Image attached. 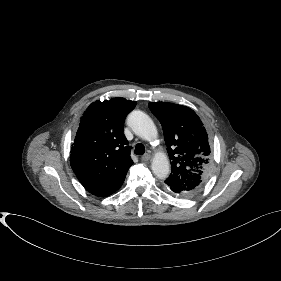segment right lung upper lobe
Returning <instances> with one entry per match:
<instances>
[{
	"instance_id": "obj_1",
	"label": "right lung upper lobe",
	"mask_w": 281,
	"mask_h": 281,
	"mask_svg": "<svg viewBox=\"0 0 281 281\" xmlns=\"http://www.w3.org/2000/svg\"><path fill=\"white\" fill-rule=\"evenodd\" d=\"M135 101L113 98L93 102L85 111L71 148L70 164L84 188L106 197L123 184L133 164L123 124Z\"/></svg>"
}]
</instances>
